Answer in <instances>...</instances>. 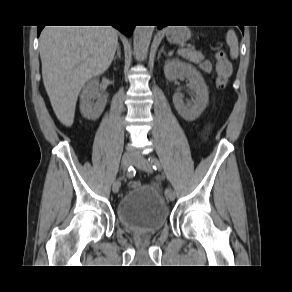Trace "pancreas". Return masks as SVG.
I'll use <instances>...</instances> for the list:
<instances>
[{
  "instance_id": "1",
  "label": "pancreas",
  "mask_w": 292,
  "mask_h": 292,
  "mask_svg": "<svg viewBox=\"0 0 292 292\" xmlns=\"http://www.w3.org/2000/svg\"><path fill=\"white\" fill-rule=\"evenodd\" d=\"M180 55L195 64H199L204 60L203 54L199 51H195L193 48L184 49V52L180 53Z\"/></svg>"
}]
</instances>
